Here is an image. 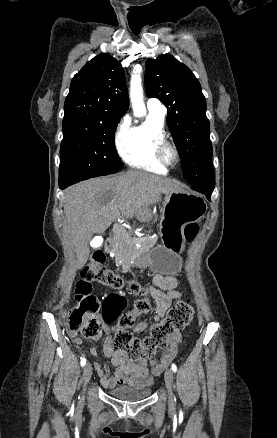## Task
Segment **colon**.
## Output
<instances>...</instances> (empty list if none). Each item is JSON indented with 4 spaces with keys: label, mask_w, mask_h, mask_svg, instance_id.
<instances>
[{
    "label": "colon",
    "mask_w": 277,
    "mask_h": 438,
    "mask_svg": "<svg viewBox=\"0 0 277 438\" xmlns=\"http://www.w3.org/2000/svg\"><path fill=\"white\" fill-rule=\"evenodd\" d=\"M199 231V225L190 223L185 226L186 238H194ZM106 257L102 249L94 251L89 263L82 271V281L76 290L80 298V307L72 309L69 314L70 329L85 337H96L105 333V321L100 312V305L96 296H89L91 288L89 282L102 286L121 290L127 286L130 292L138 297L133 308L127 312L118 314V323L121 330L117 331L112 339L114 346L125 352L130 359L138 360L146 358L154 361L156 351L164 350L168 346L170 337L187 327L193 318L194 308L190 301L182 300L171 307L163 320L152 324L147 334L135 336L127 329L135 323V317L144 315L152 310V304L148 300L147 288L138 281L126 283L118 273H115L105 265ZM104 318V317H103Z\"/></svg>",
    "instance_id": "1"
}]
</instances>
